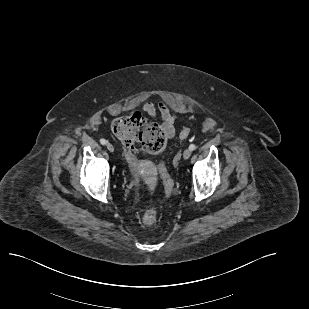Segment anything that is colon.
I'll return each instance as SVG.
<instances>
[{
	"label": "colon",
	"mask_w": 309,
	"mask_h": 309,
	"mask_svg": "<svg viewBox=\"0 0 309 309\" xmlns=\"http://www.w3.org/2000/svg\"><path fill=\"white\" fill-rule=\"evenodd\" d=\"M114 135L128 148L147 154L158 155L163 153L167 147L165 133L156 124L149 123L138 112L116 118L112 123ZM185 129L180 133V138L185 139L189 135ZM164 170V167H161ZM167 191H171V183L166 178ZM157 210L148 209L143 215V223L151 226L157 219Z\"/></svg>",
	"instance_id": "obj_1"
}]
</instances>
